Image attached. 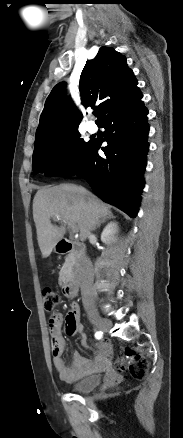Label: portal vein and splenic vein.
Returning <instances> with one entry per match:
<instances>
[{"instance_id": "1", "label": "portal vein and splenic vein", "mask_w": 183, "mask_h": 438, "mask_svg": "<svg viewBox=\"0 0 183 438\" xmlns=\"http://www.w3.org/2000/svg\"><path fill=\"white\" fill-rule=\"evenodd\" d=\"M57 220H60V217L59 216H56L55 217ZM71 227H72V230H73V232H76L77 230H76V228H75V226H73V225H70Z\"/></svg>"}]
</instances>
